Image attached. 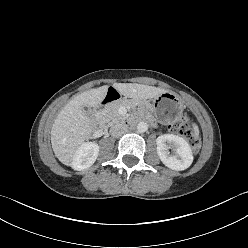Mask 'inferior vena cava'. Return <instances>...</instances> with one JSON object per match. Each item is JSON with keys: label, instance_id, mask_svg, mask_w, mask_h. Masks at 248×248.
I'll use <instances>...</instances> for the list:
<instances>
[{"label": "inferior vena cava", "instance_id": "obj_1", "mask_svg": "<svg viewBox=\"0 0 248 248\" xmlns=\"http://www.w3.org/2000/svg\"><path fill=\"white\" fill-rule=\"evenodd\" d=\"M127 132V126L123 123L113 124L110 128V134L113 137H119L124 135Z\"/></svg>", "mask_w": 248, "mask_h": 248}]
</instances>
